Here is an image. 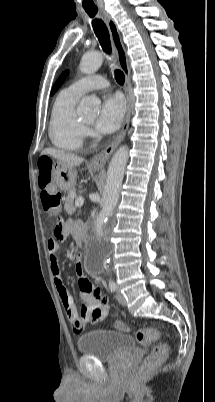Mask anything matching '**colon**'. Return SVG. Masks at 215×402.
Masks as SVG:
<instances>
[{"mask_svg":"<svg viewBox=\"0 0 215 402\" xmlns=\"http://www.w3.org/2000/svg\"><path fill=\"white\" fill-rule=\"evenodd\" d=\"M38 185L41 190V202L44 210L55 219H59V206L61 203L60 193L52 185V157L38 156ZM118 328L126 330L127 327L118 322ZM161 332L156 328L139 329L136 332V339L142 345L150 344L160 340ZM168 353V345L164 342L158 343L152 351L146 356L141 369L140 375L145 376L153 369L158 367Z\"/></svg>","mask_w":215,"mask_h":402,"instance_id":"1","label":"colon"}]
</instances>
